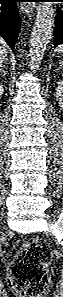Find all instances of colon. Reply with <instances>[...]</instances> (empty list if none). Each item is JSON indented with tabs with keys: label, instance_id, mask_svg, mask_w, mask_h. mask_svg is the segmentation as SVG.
<instances>
[{
	"label": "colon",
	"instance_id": "obj_1",
	"mask_svg": "<svg viewBox=\"0 0 63 297\" xmlns=\"http://www.w3.org/2000/svg\"><path fill=\"white\" fill-rule=\"evenodd\" d=\"M48 244L38 238L27 239L19 248L10 268L9 284L21 297H42L50 283Z\"/></svg>",
	"mask_w": 63,
	"mask_h": 297
}]
</instances>
